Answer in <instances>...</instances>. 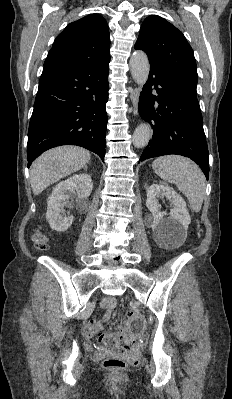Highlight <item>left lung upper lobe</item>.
I'll use <instances>...</instances> for the list:
<instances>
[{
	"mask_svg": "<svg viewBox=\"0 0 232 399\" xmlns=\"http://www.w3.org/2000/svg\"><path fill=\"white\" fill-rule=\"evenodd\" d=\"M135 49L143 50L150 64L165 72L193 103L199 105L196 61L180 30L165 19L151 15L141 26Z\"/></svg>",
	"mask_w": 232,
	"mask_h": 399,
	"instance_id": "1",
	"label": "left lung upper lobe"
}]
</instances>
